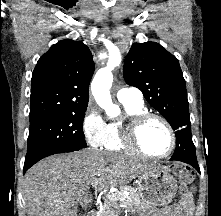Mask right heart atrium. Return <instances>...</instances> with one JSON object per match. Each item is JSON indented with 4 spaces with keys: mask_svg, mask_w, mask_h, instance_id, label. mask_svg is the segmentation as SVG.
Instances as JSON below:
<instances>
[{
    "mask_svg": "<svg viewBox=\"0 0 221 216\" xmlns=\"http://www.w3.org/2000/svg\"><path fill=\"white\" fill-rule=\"evenodd\" d=\"M106 131L107 123L99 110L93 104H89L82 119V132L85 140L92 147H101Z\"/></svg>",
    "mask_w": 221,
    "mask_h": 216,
    "instance_id": "right-heart-atrium-1",
    "label": "right heart atrium"
}]
</instances>
